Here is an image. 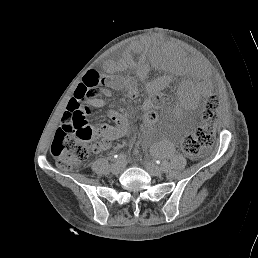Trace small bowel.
Returning a JSON list of instances; mask_svg holds the SVG:
<instances>
[{"label":"small bowel","instance_id":"small-bowel-1","mask_svg":"<svg viewBox=\"0 0 258 258\" xmlns=\"http://www.w3.org/2000/svg\"><path fill=\"white\" fill-rule=\"evenodd\" d=\"M111 67L110 64H108V67ZM92 104L98 107H102L104 104L101 100L93 99ZM109 117L112 120H117V116L113 112H109ZM123 128L120 124L116 123L115 126L112 127H105L100 130V142L96 145L95 151L100 152L108 149L110 147L111 142L120 135ZM145 142L147 144L151 143V139L149 137H145ZM155 148L157 149H165L168 153H170L173 149V146L171 143H166L164 145L157 144L155 145Z\"/></svg>","mask_w":258,"mask_h":258}]
</instances>
